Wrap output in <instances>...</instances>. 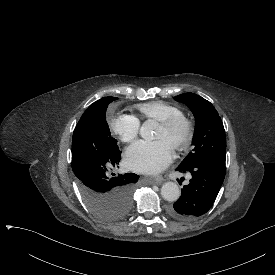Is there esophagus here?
I'll return each mask as SVG.
<instances>
[{"mask_svg":"<svg viewBox=\"0 0 275 275\" xmlns=\"http://www.w3.org/2000/svg\"><path fill=\"white\" fill-rule=\"evenodd\" d=\"M164 181L163 176H157L154 178V183L155 184H161Z\"/></svg>","mask_w":275,"mask_h":275,"instance_id":"obj_1","label":"esophagus"}]
</instances>
